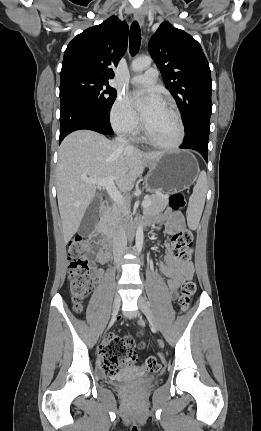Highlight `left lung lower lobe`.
Returning a JSON list of instances; mask_svg holds the SVG:
<instances>
[{"label": "left lung lower lobe", "mask_w": 261, "mask_h": 431, "mask_svg": "<svg viewBox=\"0 0 261 431\" xmlns=\"http://www.w3.org/2000/svg\"><path fill=\"white\" fill-rule=\"evenodd\" d=\"M210 132V119L198 120L189 130L185 131V139L180 148L193 149L208 162V138Z\"/></svg>", "instance_id": "0a47b994"}]
</instances>
